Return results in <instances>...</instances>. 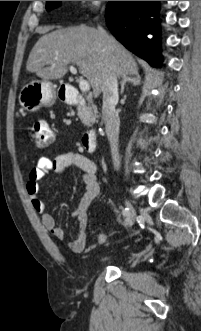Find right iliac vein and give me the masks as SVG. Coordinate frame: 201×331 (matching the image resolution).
Instances as JSON below:
<instances>
[{"mask_svg":"<svg viewBox=\"0 0 201 331\" xmlns=\"http://www.w3.org/2000/svg\"><path fill=\"white\" fill-rule=\"evenodd\" d=\"M126 207L128 209V214L125 220V226L131 227L135 222L136 212L133 205L129 201H126Z\"/></svg>","mask_w":201,"mask_h":331,"instance_id":"63e3f726","label":"right iliac vein"}]
</instances>
